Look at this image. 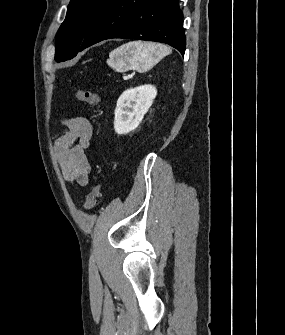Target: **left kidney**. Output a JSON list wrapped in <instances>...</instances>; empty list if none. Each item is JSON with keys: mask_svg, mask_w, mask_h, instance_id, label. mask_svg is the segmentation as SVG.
<instances>
[{"mask_svg": "<svg viewBox=\"0 0 285 335\" xmlns=\"http://www.w3.org/2000/svg\"><path fill=\"white\" fill-rule=\"evenodd\" d=\"M157 96L155 86H139L125 90L117 100L114 130L117 134H129L138 128Z\"/></svg>", "mask_w": 285, "mask_h": 335, "instance_id": "1", "label": "left kidney"}]
</instances>
